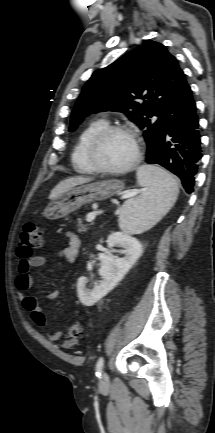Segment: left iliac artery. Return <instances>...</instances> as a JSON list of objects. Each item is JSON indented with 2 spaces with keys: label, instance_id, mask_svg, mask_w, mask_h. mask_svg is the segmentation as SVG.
<instances>
[{
  "label": "left iliac artery",
  "instance_id": "44dca946",
  "mask_svg": "<svg viewBox=\"0 0 215 433\" xmlns=\"http://www.w3.org/2000/svg\"><path fill=\"white\" fill-rule=\"evenodd\" d=\"M103 366H104V358L100 357L97 361V364H96V376L97 377L101 376Z\"/></svg>",
  "mask_w": 215,
  "mask_h": 433
}]
</instances>
